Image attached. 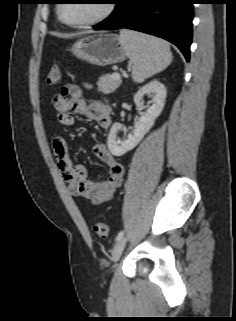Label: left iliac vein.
I'll return each mask as SVG.
<instances>
[{
	"label": "left iliac vein",
	"instance_id": "1",
	"mask_svg": "<svg viewBox=\"0 0 236 321\" xmlns=\"http://www.w3.org/2000/svg\"><path fill=\"white\" fill-rule=\"evenodd\" d=\"M125 245H126L125 237H122L120 240L117 241V243L114 245L112 250V261L116 262L120 258Z\"/></svg>",
	"mask_w": 236,
	"mask_h": 321
}]
</instances>
